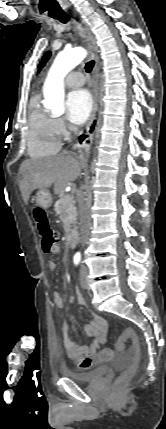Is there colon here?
Here are the masks:
<instances>
[{"instance_id": "colon-1", "label": "colon", "mask_w": 166, "mask_h": 429, "mask_svg": "<svg viewBox=\"0 0 166 429\" xmlns=\"http://www.w3.org/2000/svg\"><path fill=\"white\" fill-rule=\"evenodd\" d=\"M34 216L41 236L42 248L45 252H49L50 249L58 243V233L51 227L45 212L41 208L35 209ZM127 341L131 342V348L129 351L132 356V361L116 379L115 386L118 388L125 386L129 382L135 374L139 364V341L133 330L126 329L122 332L115 342L116 349L123 350Z\"/></svg>"}]
</instances>
